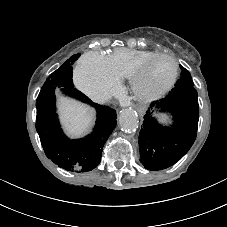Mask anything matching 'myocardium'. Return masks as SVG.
Here are the masks:
<instances>
[{"label":"myocardium","instance_id":"obj_1","mask_svg":"<svg viewBox=\"0 0 227 227\" xmlns=\"http://www.w3.org/2000/svg\"><path fill=\"white\" fill-rule=\"evenodd\" d=\"M159 58H166L172 63L173 66L172 75L170 79L162 86L155 88H145L143 86V79L147 73V70L149 66ZM177 77L178 64L176 59L173 56L166 53H156L147 58L145 61H143L130 76L131 91L137 98L141 100L145 101L154 100L166 94L175 84Z\"/></svg>","mask_w":227,"mask_h":227}]
</instances>
